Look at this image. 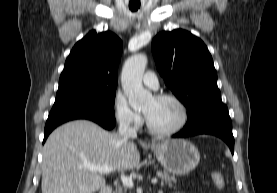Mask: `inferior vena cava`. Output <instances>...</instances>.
Masks as SVG:
<instances>
[{"instance_id":"obj_1","label":"inferior vena cava","mask_w":277,"mask_h":193,"mask_svg":"<svg viewBox=\"0 0 277 193\" xmlns=\"http://www.w3.org/2000/svg\"><path fill=\"white\" fill-rule=\"evenodd\" d=\"M119 135L122 136L124 139L129 138H136L137 132L135 128L130 126V120L126 117H121L119 119V128H118Z\"/></svg>"}]
</instances>
